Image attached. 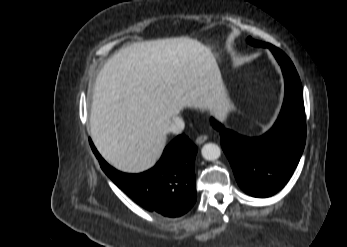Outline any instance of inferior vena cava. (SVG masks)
<instances>
[{
    "label": "inferior vena cava",
    "mask_w": 347,
    "mask_h": 247,
    "mask_svg": "<svg viewBox=\"0 0 347 247\" xmlns=\"http://www.w3.org/2000/svg\"><path fill=\"white\" fill-rule=\"evenodd\" d=\"M185 127V123L182 118L180 117H174L167 128L168 132L174 133V134H180Z\"/></svg>",
    "instance_id": "1"
}]
</instances>
